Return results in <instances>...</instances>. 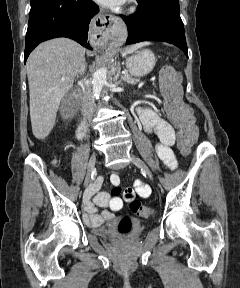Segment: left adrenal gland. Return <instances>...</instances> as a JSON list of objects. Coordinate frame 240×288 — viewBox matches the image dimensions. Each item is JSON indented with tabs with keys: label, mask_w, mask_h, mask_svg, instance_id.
<instances>
[{
	"label": "left adrenal gland",
	"mask_w": 240,
	"mask_h": 288,
	"mask_svg": "<svg viewBox=\"0 0 240 288\" xmlns=\"http://www.w3.org/2000/svg\"><path fill=\"white\" fill-rule=\"evenodd\" d=\"M119 74H120V71H118L116 76H114L113 80H114L115 84H120L121 83V81H118Z\"/></svg>",
	"instance_id": "1"
}]
</instances>
